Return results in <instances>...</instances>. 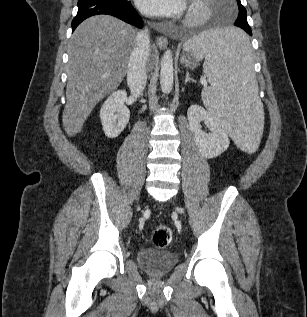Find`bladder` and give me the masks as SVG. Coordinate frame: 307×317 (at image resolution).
<instances>
[{
  "label": "bladder",
  "mask_w": 307,
  "mask_h": 317,
  "mask_svg": "<svg viewBox=\"0 0 307 317\" xmlns=\"http://www.w3.org/2000/svg\"><path fill=\"white\" fill-rule=\"evenodd\" d=\"M177 261V255L168 250L144 247L137 252L138 265L145 272L153 276L168 273L177 264Z\"/></svg>",
  "instance_id": "31cf9c89"
}]
</instances>
